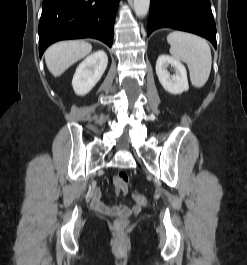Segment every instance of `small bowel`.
I'll list each match as a JSON object with an SVG mask.
<instances>
[{
  "instance_id": "1",
  "label": "small bowel",
  "mask_w": 247,
  "mask_h": 265,
  "mask_svg": "<svg viewBox=\"0 0 247 265\" xmlns=\"http://www.w3.org/2000/svg\"><path fill=\"white\" fill-rule=\"evenodd\" d=\"M116 186V193H120V188ZM91 207L93 210L108 216H117L119 218H127L130 215H137L140 212V207L137 205L127 206L122 204L108 205L101 201V192L95 189L92 193Z\"/></svg>"
}]
</instances>
